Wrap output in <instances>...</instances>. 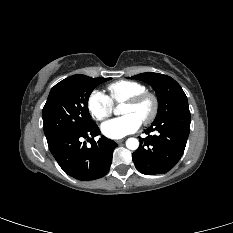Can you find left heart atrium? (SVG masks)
Masks as SVG:
<instances>
[{"instance_id": "obj_1", "label": "left heart atrium", "mask_w": 233, "mask_h": 233, "mask_svg": "<svg viewBox=\"0 0 233 233\" xmlns=\"http://www.w3.org/2000/svg\"><path fill=\"white\" fill-rule=\"evenodd\" d=\"M141 121L132 114H126L118 118L110 119L101 125L103 135L110 139H121L136 132Z\"/></svg>"}]
</instances>
